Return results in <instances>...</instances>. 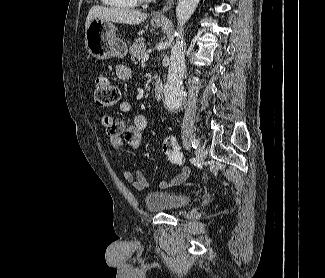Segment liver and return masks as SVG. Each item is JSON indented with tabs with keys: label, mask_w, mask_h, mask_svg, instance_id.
Instances as JSON below:
<instances>
[{
	"label": "liver",
	"mask_w": 325,
	"mask_h": 278,
	"mask_svg": "<svg viewBox=\"0 0 325 278\" xmlns=\"http://www.w3.org/2000/svg\"><path fill=\"white\" fill-rule=\"evenodd\" d=\"M148 15L141 11L116 7L93 6L86 18L85 28L93 19H101L115 23L138 25L147 19Z\"/></svg>",
	"instance_id": "obj_1"
}]
</instances>
